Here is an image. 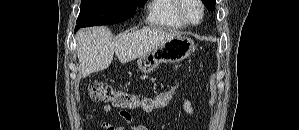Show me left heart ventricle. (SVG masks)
Listing matches in <instances>:
<instances>
[{
    "instance_id": "left-heart-ventricle-1",
    "label": "left heart ventricle",
    "mask_w": 299,
    "mask_h": 130,
    "mask_svg": "<svg viewBox=\"0 0 299 130\" xmlns=\"http://www.w3.org/2000/svg\"><path fill=\"white\" fill-rule=\"evenodd\" d=\"M186 13H187V16L189 17V19L194 22L198 21L200 18L199 7L193 2L188 4Z\"/></svg>"
}]
</instances>
